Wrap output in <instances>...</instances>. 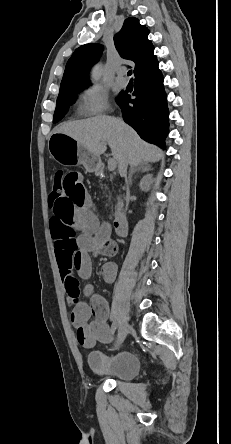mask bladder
<instances>
[{
  "label": "bladder",
  "instance_id": "obj_1",
  "mask_svg": "<svg viewBox=\"0 0 231 444\" xmlns=\"http://www.w3.org/2000/svg\"><path fill=\"white\" fill-rule=\"evenodd\" d=\"M92 372L99 377L128 381L140 371V359L131 351H121L110 356L100 352L88 356Z\"/></svg>",
  "mask_w": 231,
  "mask_h": 444
}]
</instances>
